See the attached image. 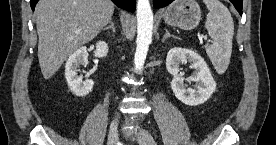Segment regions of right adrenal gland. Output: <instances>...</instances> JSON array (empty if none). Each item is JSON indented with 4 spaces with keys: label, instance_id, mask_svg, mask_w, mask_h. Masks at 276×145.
<instances>
[{
    "label": "right adrenal gland",
    "instance_id": "1",
    "mask_svg": "<svg viewBox=\"0 0 276 145\" xmlns=\"http://www.w3.org/2000/svg\"><path fill=\"white\" fill-rule=\"evenodd\" d=\"M109 24H110V25H108L107 27H105V28L103 29V31L112 29V31L115 32V31H116V28H115V26H114V23H113L112 19H110Z\"/></svg>",
    "mask_w": 276,
    "mask_h": 145
}]
</instances>
